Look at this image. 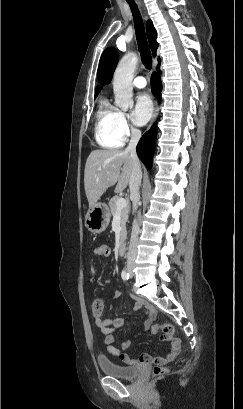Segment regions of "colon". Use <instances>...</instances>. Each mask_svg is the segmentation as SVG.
<instances>
[{
	"mask_svg": "<svg viewBox=\"0 0 243 409\" xmlns=\"http://www.w3.org/2000/svg\"><path fill=\"white\" fill-rule=\"evenodd\" d=\"M103 303L101 299H95L92 302L91 309L94 315L99 314L102 311ZM152 333L156 334L159 331H162L165 334H174L175 329L170 324H156L152 327ZM166 372V369L163 367L156 366L153 369L154 376H161Z\"/></svg>",
	"mask_w": 243,
	"mask_h": 409,
	"instance_id": "1",
	"label": "colon"
}]
</instances>
